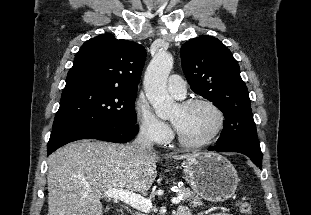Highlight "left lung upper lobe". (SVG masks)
<instances>
[{
    "label": "left lung upper lobe",
    "mask_w": 311,
    "mask_h": 215,
    "mask_svg": "<svg viewBox=\"0 0 311 215\" xmlns=\"http://www.w3.org/2000/svg\"><path fill=\"white\" fill-rule=\"evenodd\" d=\"M181 63L191 89L224 114L216 145L234 140L258 143L248 90L230 50L217 38L202 35L182 45Z\"/></svg>",
    "instance_id": "left-lung-upper-lobe-1"
}]
</instances>
